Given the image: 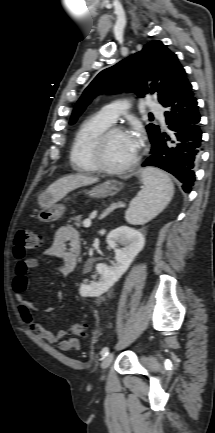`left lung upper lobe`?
<instances>
[{"label": "left lung upper lobe", "mask_w": 215, "mask_h": 433, "mask_svg": "<svg viewBox=\"0 0 215 433\" xmlns=\"http://www.w3.org/2000/svg\"><path fill=\"white\" fill-rule=\"evenodd\" d=\"M185 75L176 54L161 41H151L140 52L104 69L94 78L75 105L70 124H73L91 100L101 93L133 91L138 97H143L149 92L157 91L158 100L162 104ZM146 128L150 141L160 130L154 124H149Z\"/></svg>", "instance_id": "obj_1"}]
</instances>
